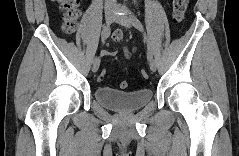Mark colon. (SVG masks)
<instances>
[{
  "label": "colon",
  "instance_id": "obj_1",
  "mask_svg": "<svg viewBox=\"0 0 239 156\" xmlns=\"http://www.w3.org/2000/svg\"><path fill=\"white\" fill-rule=\"evenodd\" d=\"M188 6V0H174L173 2V18L176 22H181L184 18L186 9ZM59 8L63 12V30L66 33L74 32L77 20L80 15L78 2L75 0H63L59 3ZM107 72L105 69L101 70L98 75L99 81H104L106 79ZM141 77L143 79L148 78V74L145 70L141 71ZM121 89H126L128 87L127 81H122L120 83Z\"/></svg>",
  "mask_w": 239,
  "mask_h": 156
}]
</instances>
